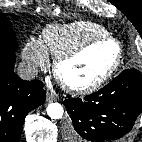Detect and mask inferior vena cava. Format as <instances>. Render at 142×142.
I'll return each instance as SVG.
<instances>
[{
    "mask_svg": "<svg viewBox=\"0 0 142 142\" xmlns=\"http://www.w3.org/2000/svg\"><path fill=\"white\" fill-rule=\"evenodd\" d=\"M38 67L30 62H21L17 68L18 76L23 80H32L38 74Z\"/></svg>",
    "mask_w": 142,
    "mask_h": 142,
    "instance_id": "1",
    "label": "inferior vena cava"
}]
</instances>
